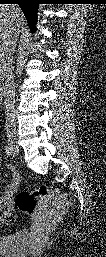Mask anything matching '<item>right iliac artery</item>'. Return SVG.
<instances>
[{
  "label": "right iliac artery",
  "mask_w": 106,
  "mask_h": 257,
  "mask_svg": "<svg viewBox=\"0 0 106 257\" xmlns=\"http://www.w3.org/2000/svg\"><path fill=\"white\" fill-rule=\"evenodd\" d=\"M5 150H6V155H7V157H9V156L11 155V153H12V149H11V147L9 146V144L6 146Z\"/></svg>",
  "instance_id": "82829eb1"
}]
</instances>
